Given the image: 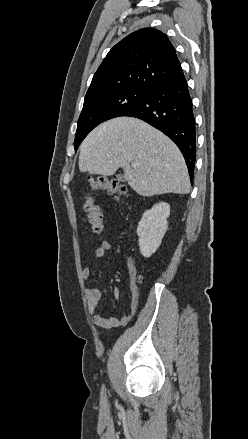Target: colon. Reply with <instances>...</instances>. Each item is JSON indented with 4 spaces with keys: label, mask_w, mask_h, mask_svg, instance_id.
Wrapping results in <instances>:
<instances>
[{
    "label": "colon",
    "mask_w": 248,
    "mask_h": 439,
    "mask_svg": "<svg viewBox=\"0 0 248 439\" xmlns=\"http://www.w3.org/2000/svg\"><path fill=\"white\" fill-rule=\"evenodd\" d=\"M96 190H105L110 195L120 198L126 194V188L117 180H109L103 177L90 181V191L85 197V211L92 230L99 234L103 230V218L101 210L91 194Z\"/></svg>",
    "instance_id": "colon-1"
}]
</instances>
